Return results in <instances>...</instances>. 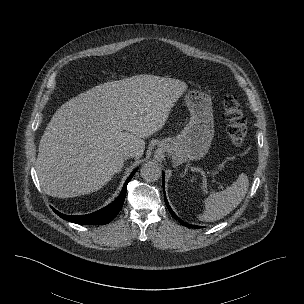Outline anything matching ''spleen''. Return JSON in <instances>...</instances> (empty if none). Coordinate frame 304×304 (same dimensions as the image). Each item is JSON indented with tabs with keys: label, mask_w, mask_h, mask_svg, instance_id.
<instances>
[{
	"label": "spleen",
	"mask_w": 304,
	"mask_h": 304,
	"mask_svg": "<svg viewBox=\"0 0 304 304\" xmlns=\"http://www.w3.org/2000/svg\"><path fill=\"white\" fill-rule=\"evenodd\" d=\"M249 187L246 174H240L237 181L221 192L212 191L205 200V211L200 216L203 221L222 219L234 210L244 199Z\"/></svg>",
	"instance_id": "spleen-1"
}]
</instances>
